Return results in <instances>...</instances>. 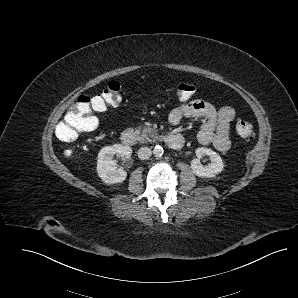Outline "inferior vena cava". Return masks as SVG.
Listing matches in <instances>:
<instances>
[{
	"instance_id": "1",
	"label": "inferior vena cava",
	"mask_w": 298,
	"mask_h": 298,
	"mask_svg": "<svg viewBox=\"0 0 298 298\" xmlns=\"http://www.w3.org/2000/svg\"><path fill=\"white\" fill-rule=\"evenodd\" d=\"M152 155V151L148 147H142L138 150V158L142 160L149 159Z\"/></svg>"
}]
</instances>
